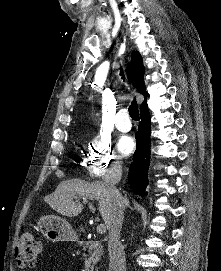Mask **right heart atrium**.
Masks as SVG:
<instances>
[{"label":"right heart atrium","instance_id":"right-heart-atrium-1","mask_svg":"<svg viewBox=\"0 0 221 271\" xmlns=\"http://www.w3.org/2000/svg\"><path fill=\"white\" fill-rule=\"evenodd\" d=\"M108 146H90V151H88V156L84 157V170H95L97 173H101L106 169V167H111V162L109 159L112 158L111 152L108 151Z\"/></svg>","mask_w":221,"mask_h":271}]
</instances>
